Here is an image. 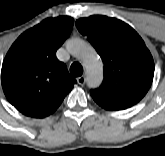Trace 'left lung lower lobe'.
Listing matches in <instances>:
<instances>
[{
    "instance_id": "left-lung-lower-lobe-1",
    "label": "left lung lower lobe",
    "mask_w": 165,
    "mask_h": 156,
    "mask_svg": "<svg viewBox=\"0 0 165 156\" xmlns=\"http://www.w3.org/2000/svg\"><path fill=\"white\" fill-rule=\"evenodd\" d=\"M97 103V102H96ZM98 104V103H97ZM100 105V104H99ZM101 106V105H100ZM101 107H103V108H105V109H107V110H110V109H108V108H106V107H104V106H101Z\"/></svg>"
}]
</instances>
